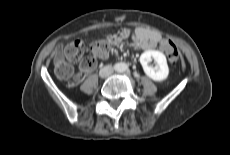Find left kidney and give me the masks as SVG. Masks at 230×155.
<instances>
[{
    "mask_svg": "<svg viewBox=\"0 0 230 155\" xmlns=\"http://www.w3.org/2000/svg\"><path fill=\"white\" fill-rule=\"evenodd\" d=\"M154 60L156 65L151 67L148 63ZM140 63L143 67L145 74L156 82H162L167 79L169 68L165 55L157 50H147L140 56Z\"/></svg>",
    "mask_w": 230,
    "mask_h": 155,
    "instance_id": "obj_1",
    "label": "left kidney"
}]
</instances>
